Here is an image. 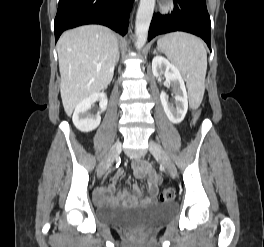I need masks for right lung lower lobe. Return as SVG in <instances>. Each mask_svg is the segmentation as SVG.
I'll return each mask as SVG.
<instances>
[{
  "mask_svg": "<svg viewBox=\"0 0 264 247\" xmlns=\"http://www.w3.org/2000/svg\"><path fill=\"white\" fill-rule=\"evenodd\" d=\"M133 0H59L55 40L63 31L86 24L105 25L125 35Z\"/></svg>",
  "mask_w": 264,
  "mask_h": 247,
  "instance_id": "right-lung-lower-lobe-1",
  "label": "right lung lower lobe"
}]
</instances>
